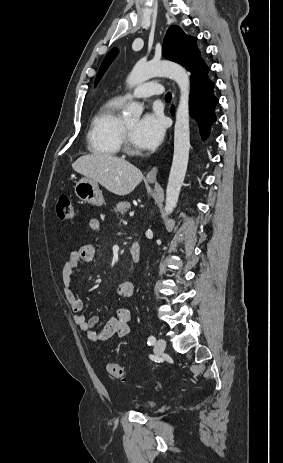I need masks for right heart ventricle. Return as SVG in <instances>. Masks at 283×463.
Returning <instances> with one entry per match:
<instances>
[{
    "label": "right heart ventricle",
    "mask_w": 283,
    "mask_h": 463,
    "mask_svg": "<svg viewBox=\"0 0 283 463\" xmlns=\"http://www.w3.org/2000/svg\"><path fill=\"white\" fill-rule=\"evenodd\" d=\"M122 103V99L112 98L94 114L87 134L88 149L93 154L115 156L119 153L123 124L119 108Z\"/></svg>",
    "instance_id": "e07e8e85"
}]
</instances>
